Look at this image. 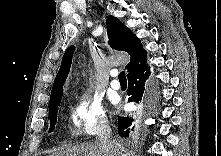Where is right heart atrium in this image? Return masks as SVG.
<instances>
[{
  "mask_svg": "<svg viewBox=\"0 0 221 156\" xmlns=\"http://www.w3.org/2000/svg\"><path fill=\"white\" fill-rule=\"evenodd\" d=\"M71 126L74 133L82 137H92L105 133L109 129V120L102 101L86 92L72 106Z\"/></svg>",
  "mask_w": 221,
  "mask_h": 156,
  "instance_id": "obj_1",
  "label": "right heart atrium"
}]
</instances>
